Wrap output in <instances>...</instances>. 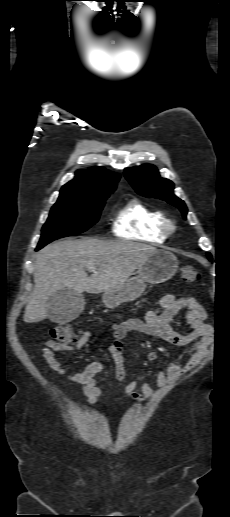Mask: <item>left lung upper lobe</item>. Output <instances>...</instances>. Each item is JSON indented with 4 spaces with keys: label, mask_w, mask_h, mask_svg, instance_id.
Wrapping results in <instances>:
<instances>
[{
    "label": "left lung upper lobe",
    "mask_w": 230,
    "mask_h": 517,
    "mask_svg": "<svg viewBox=\"0 0 230 517\" xmlns=\"http://www.w3.org/2000/svg\"><path fill=\"white\" fill-rule=\"evenodd\" d=\"M125 177L139 194L167 201L179 208L186 219L187 207L181 199L173 194V182L161 178L155 166L142 165L126 168ZM207 256L210 260L212 259L210 253H207Z\"/></svg>",
    "instance_id": "1"
}]
</instances>
